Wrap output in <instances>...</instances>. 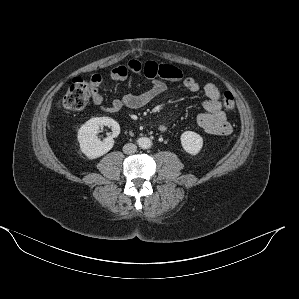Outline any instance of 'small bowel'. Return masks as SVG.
<instances>
[{
	"label": "small bowel",
	"instance_id": "c3829d8e",
	"mask_svg": "<svg viewBox=\"0 0 299 299\" xmlns=\"http://www.w3.org/2000/svg\"><path fill=\"white\" fill-rule=\"evenodd\" d=\"M130 74L150 78L152 80L150 88L140 95L128 94L119 99L108 100L99 92L98 88L103 79L96 75L94 76L96 83L92 89L93 103L110 113L117 112L123 107L139 109L152 102L166 90L165 81L180 83L189 91L203 92L206 96V100L203 102L204 112L198 114L196 119L199 129L210 135H226L231 132V126L222 109V93L216 85L212 83L202 85L193 77L186 76L180 69L169 64L155 61L142 64L136 59H131L126 64L113 68L107 78L114 81H125ZM166 129L165 125L159 127L161 132H165Z\"/></svg>",
	"mask_w": 299,
	"mask_h": 299
}]
</instances>
